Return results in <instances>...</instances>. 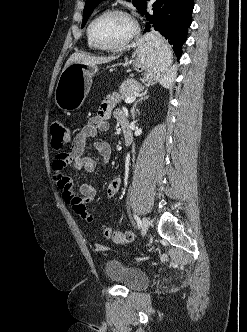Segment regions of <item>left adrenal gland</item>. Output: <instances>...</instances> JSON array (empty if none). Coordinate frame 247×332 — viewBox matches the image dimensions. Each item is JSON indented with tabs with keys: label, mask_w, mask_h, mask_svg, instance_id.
Wrapping results in <instances>:
<instances>
[{
	"label": "left adrenal gland",
	"mask_w": 247,
	"mask_h": 332,
	"mask_svg": "<svg viewBox=\"0 0 247 332\" xmlns=\"http://www.w3.org/2000/svg\"><path fill=\"white\" fill-rule=\"evenodd\" d=\"M146 99H148V95L147 92L145 91L142 96L134 103L132 109H131V115L132 118L135 119V114H136V107L138 105V103H141L142 101H145Z\"/></svg>",
	"instance_id": "obj_1"
}]
</instances>
